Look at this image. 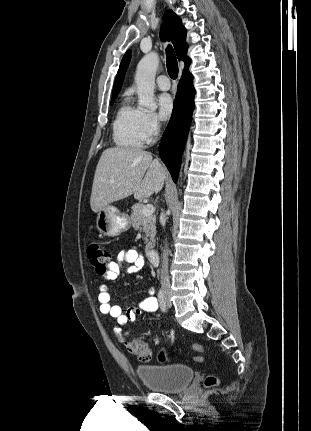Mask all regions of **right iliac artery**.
Here are the masks:
<instances>
[{"instance_id":"right-iliac-artery-1","label":"right iliac artery","mask_w":311,"mask_h":431,"mask_svg":"<svg viewBox=\"0 0 311 431\" xmlns=\"http://www.w3.org/2000/svg\"><path fill=\"white\" fill-rule=\"evenodd\" d=\"M158 300H159V303H160L161 310L163 312H166L167 308H166L165 294H164V291L162 289H160V291L158 293Z\"/></svg>"}]
</instances>
